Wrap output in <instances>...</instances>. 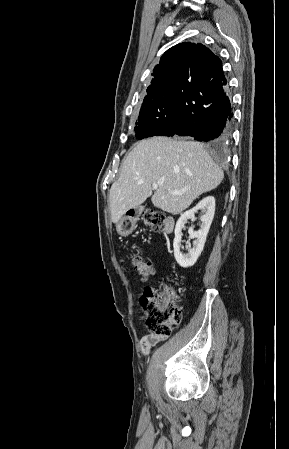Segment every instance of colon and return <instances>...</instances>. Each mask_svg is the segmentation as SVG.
I'll list each match as a JSON object with an SVG mask.
<instances>
[{
	"label": "colon",
	"instance_id": "1",
	"mask_svg": "<svg viewBox=\"0 0 289 449\" xmlns=\"http://www.w3.org/2000/svg\"><path fill=\"white\" fill-rule=\"evenodd\" d=\"M142 221L158 229L164 222V216L160 212L147 210L142 213ZM131 221L126 220L124 225L130 226ZM132 264L137 274L147 279L155 272L152 262L145 260L138 254L132 256ZM147 328L158 337L166 338L173 328L181 321L182 312L177 297L170 288L162 290L146 287L140 298Z\"/></svg>",
	"mask_w": 289,
	"mask_h": 449
}]
</instances>
